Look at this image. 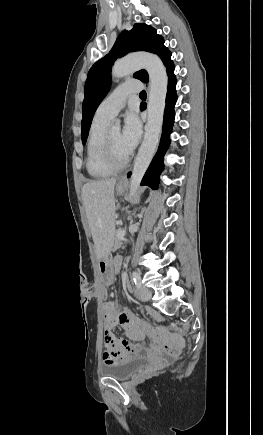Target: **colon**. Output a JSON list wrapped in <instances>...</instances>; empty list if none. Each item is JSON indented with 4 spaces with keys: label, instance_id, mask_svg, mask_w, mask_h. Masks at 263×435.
I'll list each match as a JSON object with an SVG mask.
<instances>
[{
    "label": "colon",
    "instance_id": "1",
    "mask_svg": "<svg viewBox=\"0 0 263 435\" xmlns=\"http://www.w3.org/2000/svg\"><path fill=\"white\" fill-rule=\"evenodd\" d=\"M95 290L98 291L102 296H105V292L101 288L95 287ZM165 328L168 329L170 332H177L179 335H185L187 333L183 327H178L176 324H166ZM102 339V350H111L113 348V343L115 339L112 330H107V332H103ZM134 341H140V339H134Z\"/></svg>",
    "mask_w": 263,
    "mask_h": 435
}]
</instances>
